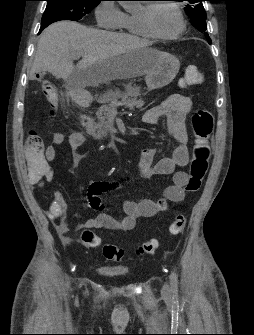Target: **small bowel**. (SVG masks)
I'll return each mask as SVG.
<instances>
[{
  "label": "small bowel",
  "instance_id": "c3829d8e",
  "mask_svg": "<svg viewBox=\"0 0 254 335\" xmlns=\"http://www.w3.org/2000/svg\"><path fill=\"white\" fill-rule=\"evenodd\" d=\"M191 108L192 103L188 97L181 94H172L158 105L149 109L143 116V122L149 125H155L161 118H165L168 135L178 143L171 155L160 159L158 162H155L157 153L155 148H144L140 153L138 168L141 176L171 175L172 183L164 189L162 197L157 200L149 198L126 200L123 203V214L115 218L105 212V205L102 202L101 195L116 189L119 183L111 181L93 182L89 188L88 203L90 207L98 211V214L85 221L79 228L131 231L134 229L138 218L153 217L160 212L166 211L169 202L178 203L185 199L184 187L187 182V174L176 170V168L186 166L189 161L186 119ZM65 140L66 137L62 132L53 134L52 144L46 148L44 156V160L48 165L56 159L57 147L62 145ZM84 142L85 136L80 132H73L68 136V145L72 155L77 156L78 149ZM41 179L28 178L32 185H40ZM67 208L64 195L59 191H55L48 216L55 222V228L62 242L69 245L72 241L68 237Z\"/></svg>",
  "mask_w": 254,
  "mask_h": 335
}]
</instances>
